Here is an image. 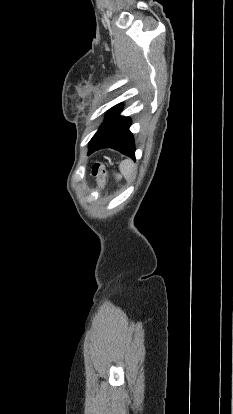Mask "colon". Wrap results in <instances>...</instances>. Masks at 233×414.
<instances>
[{
  "label": "colon",
  "instance_id": "5ec220e1",
  "mask_svg": "<svg viewBox=\"0 0 233 414\" xmlns=\"http://www.w3.org/2000/svg\"><path fill=\"white\" fill-rule=\"evenodd\" d=\"M105 170H106V165L104 163L98 162L93 165L92 174L93 176L99 177L104 174Z\"/></svg>",
  "mask_w": 233,
  "mask_h": 414
}]
</instances>
